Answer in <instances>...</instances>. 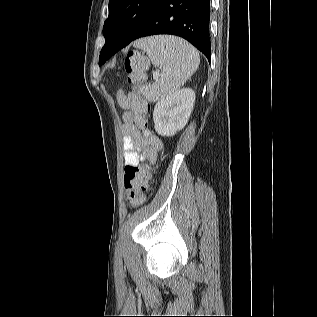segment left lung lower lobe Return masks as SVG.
Listing matches in <instances>:
<instances>
[{"instance_id":"1","label":"left lung lower lobe","mask_w":317,"mask_h":317,"mask_svg":"<svg viewBox=\"0 0 317 317\" xmlns=\"http://www.w3.org/2000/svg\"><path fill=\"white\" fill-rule=\"evenodd\" d=\"M209 19L210 0H163L132 41L157 34L177 35L193 44L210 61ZM128 44L107 41L103 47L107 50L106 58Z\"/></svg>"}]
</instances>
